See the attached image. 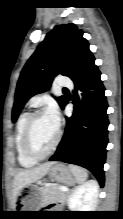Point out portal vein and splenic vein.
<instances>
[{
    "instance_id": "obj_1",
    "label": "portal vein and splenic vein",
    "mask_w": 123,
    "mask_h": 219,
    "mask_svg": "<svg viewBox=\"0 0 123 219\" xmlns=\"http://www.w3.org/2000/svg\"><path fill=\"white\" fill-rule=\"evenodd\" d=\"M60 189L62 190V191H64V192H68V188L67 187H65V186H62V187H60Z\"/></svg>"
}]
</instances>
